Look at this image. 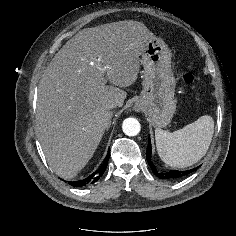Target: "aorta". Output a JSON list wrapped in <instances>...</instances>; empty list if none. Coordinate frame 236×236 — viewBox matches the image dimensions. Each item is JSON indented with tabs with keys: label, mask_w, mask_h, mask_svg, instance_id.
Returning <instances> with one entry per match:
<instances>
[{
	"label": "aorta",
	"mask_w": 236,
	"mask_h": 236,
	"mask_svg": "<svg viewBox=\"0 0 236 236\" xmlns=\"http://www.w3.org/2000/svg\"><path fill=\"white\" fill-rule=\"evenodd\" d=\"M123 132L127 136H135L140 132V123L135 118H126L122 124Z\"/></svg>",
	"instance_id": "762f6f07"
}]
</instances>
